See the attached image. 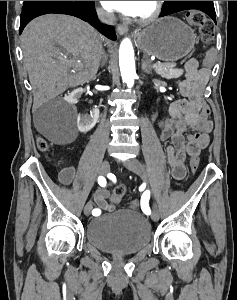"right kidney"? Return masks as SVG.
<instances>
[{
  "mask_svg": "<svg viewBox=\"0 0 237 300\" xmlns=\"http://www.w3.org/2000/svg\"><path fill=\"white\" fill-rule=\"evenodd\" d=\"M84 89H75L72 91L68 97V103H71L73 107H75L76 103H78V99H80L81 95H83ZM99 119V109H93L90 111V115L85 113V115H78L77 117V127L80 133H88L91 131L93 127H95L97 121Z\"/></svg>",
  "mask_w": 237,
  "mask_h": 300,
  "instance_id": "ca27d5eb",
  "label": "right kidney"
}]
</instances>
